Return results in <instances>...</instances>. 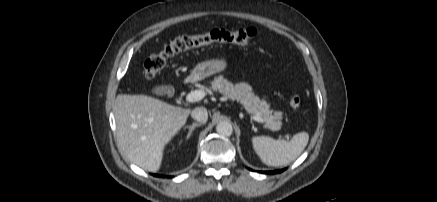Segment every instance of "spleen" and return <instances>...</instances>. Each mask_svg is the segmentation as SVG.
<instances>
[{
  "label": "spleen",
  "instance_id": "obj_1",
  "mask_svg": "<svg viewBox=\"0 0 437 202\" xmlns=\"http://www.w3.org/2000/svg\"><path fill=\"white\" fill-rule=\"evenodd\" d=\"M309 141L307 132L295 134L290 141L275 140L269 136L252 138V145L261 161L268 166H285L294 161Z\"/></svg>",
  "mask_w": 437,
  "mask_h": 202
}]
</instances>
